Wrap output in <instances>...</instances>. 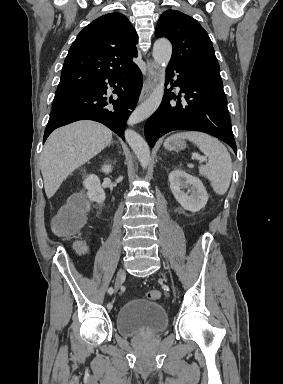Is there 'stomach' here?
Instances as JSON below:
<instances>
[{
    "label": "stomach",
    "instance_id": "0dacf381",
    "mask_svg": "<svg viewBox=\"0 0 283 384\" xmlns=\"http://www.w3.org/2000/svg\"><path fill=\"white\" fill-rule=\"evenodd\" d=\"M171 150H183V148H185V142H183V140H178V142H176V140H173V142H170L169 144Z\"/></svg>",
    "mask_w": 283,
    "mask_h": 384
}]
</instances>
